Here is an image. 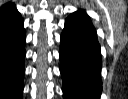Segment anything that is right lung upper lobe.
Segmentation results:
<instances>
[{
    "label": "right lung upper lobe",
    "mask_w": 128,
    "mask_h": 99,
    "mask_svg": "<svg viewBox=\"0 0 128 99\" xmlns=\"http://www.w3.org/2000/svg\"><path fill=\"white\" fill-rule=\"evenodd\" d=\"M13 5L14 4H12V3L5 4L4 6L1 7L0 12L3 11V10H5V9H7V8H9V7H11V6H13Z\"/></svg>",
    "instance_id": "cb5924a9"
}]
</instances>
